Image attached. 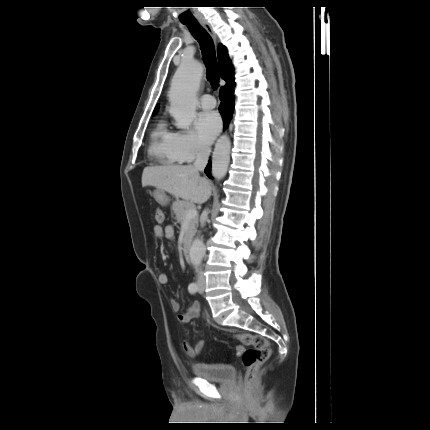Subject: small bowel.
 <instances>
[{"mask_svg": "<svg viewBox=\"0 0 430 430\" xmlns=\"http://www.w3.org/2000/svg\"><path fill=\"white\" fill-rule=\"evenodd\" d=\"M153 234L156 238H167L169 240L174 239V229L172 226L168 225L165 228L157 225L153 228ZM158 281L162 285H166L168 283V275L165 272H161L158 275ZM171 307L174 311H178L180 308V304L176 300L171 301ZM200 314V304L195 302L193 303L184 313L179 314L177 320L181 324H187L193 319L197 318ZM204 348V340L202 338L197 339L195 344H192L189 340L183 341V349L185 353L190 358H196Z\"/></svg>", "mask_w": 430, "mask_h": 430, "instance_id": "obj_1", "label": "small bowel"}]
</instances>
